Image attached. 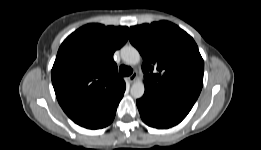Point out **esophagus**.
I'll return each mask as SVG.
<instances>
[{"label":"esophagus","mask_w":261,"mask_h":150,"mask_svg":"<svg viewBox=\"0 0 261 150\" xmlns=\"http://www.w3.org/2000/svg\"><path fill=\"white\" fill-rule=\"evenodd\" d=\"M136 78H137V73H133L132 75L129 76L128 79L131 83H133L135 82Z\"/></svg>","instance_id":"esophagus-1"}]
</instances>
